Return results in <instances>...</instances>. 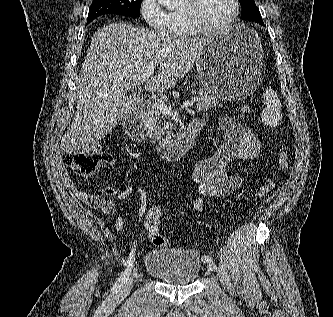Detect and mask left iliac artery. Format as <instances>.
Listing matches in <instances>:
<instances>
[{
	"mask_svg": "<svg viewBox=\"0 0 333 317\" xmlns=\"http://www.w3.org/2000/svg\"><path fill=\"white\" fill-rule=\"evenodd\" d=\"M202 260H203V262H210V261H212L213 259H212V257H210V256H208V255H205V256L202 257Z\"/></svg>",
	"mask_w": 333,
	"mask_h": 317,
	"instance_id": "44dca946",
	"label": "left iliac artery"
}]
</instances>
